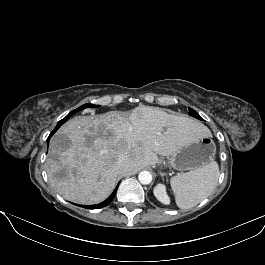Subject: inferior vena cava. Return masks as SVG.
<instances>
[{
    "instance_id": "inferior-vena-cava-1",
    "label": "inferior vena cava",
    "mask_w": 265,
    "mask_h": 265,
    "mask_svg": "<svg viewBox=\"0 0 265 265\" xmlns=\"http://www.w3.org/2000/svg\"><path fill=\"white\" fill-rule=\"evenodd\" d=\"M118 167L121 169V170H124L126 168V164L124 163L123 159H120L119 162H118Z\"/></svg>"
}]
</instances>
